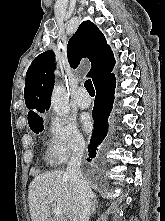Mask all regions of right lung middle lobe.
<instances>
[{
  "instance_id": "dd1d6c3e",
  "label": "right lung middle lobe",
  "mask_w": 165,
  "mask_h": 221,
  "mask_svg": "<svg viewBox=\"0 0 165 221\" xmlns=\"http://www.w3.org/2000/svg\"><path fill=\"white\" fill-rule=\"evenodd\" d=\"M29 126L32 129V131L39 133L44 129L43 127V119L42 118H37L33 121H29Z\"/></svg>"
}]
</instances>
